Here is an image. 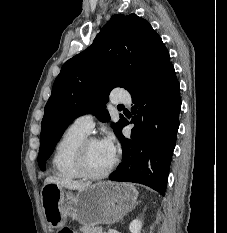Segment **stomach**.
Wrapping results in <instances>:
<instances>
[{"label":"stomach","mask_w":227,"mask_h":233,"mask_svg":"<svg viewBox=\"0 0 227 233\" xmlns=\"http://www.w3.org/2000/svg\"><path fill=\"white\" fill-rule=\"evenodd\" d=\"M138 192L127 183L100 182L76 193L56 184L41 190L46 222L52 228L63 227L68 217L82 224H113L131 211Z\"/></svg>","instance_id":"obj_1"}]
</instances>
